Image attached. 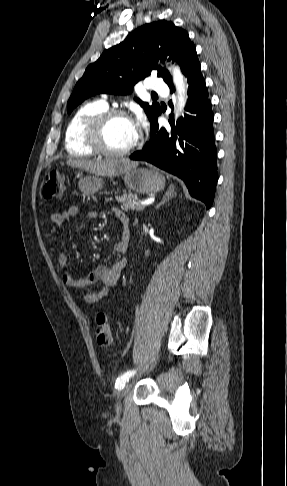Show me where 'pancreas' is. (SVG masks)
Masks as SVG:
<instances>
[{"instance_id": "cf45deb5", "label": "pancreas", "mask_w": 287, "mask_h": 486, "mask_svg": "<svg viewBox=\"0 0 287 486\" xmlns=\"http://www.w3.org/2000/svg\"><path fill=\"white\" fill-rule=\"evenodd\" d=\"M115 199L124 210L142 211L144 209V207L137 204L138 198L136 195L124 193L121 196H116Z\"/></svg>"}]
</instances>
